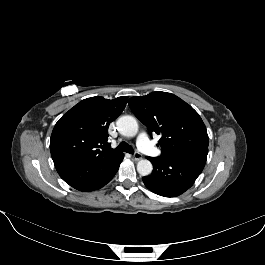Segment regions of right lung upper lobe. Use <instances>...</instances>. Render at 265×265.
Listing matches in <instances>:
<instances>
[{
	"label": "right lung upper lobe",
	"mask_w": 265,
	"mask_h": 265,
	"mask_svg": "<svg viewBox=\"0 0 265 265\" xmlns=\"http://www.w3.org/2000/svg\"><path fill=\"white\" fill-rule=\"evenodd\" d=\"M127 99L126 96L114 100L91 97L65 113L56 123L50 139L55 167L104 160L120 154L107 143L108 127L122 113Z\"/></svg>",
	"instance_id": "obj_1"
}]
</instances>
